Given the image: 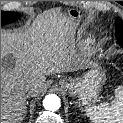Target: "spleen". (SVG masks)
I'll return each mask as SVG.
<instances>
[{"mask_svg":"<svg viewBox=\"0 0 123 123\" xmlns=\"http://www.w3.org/2000/svg\"><path fill=\"white\" fill-rule=\"evenodd\" d=\"M85 111L92 123H123V86L116 89L111 104L103 102L88 106Z\"/></svg>","mask_w":123,"mask_h":123,"instance_id":"1","label":"spleen"}]
</instances>
